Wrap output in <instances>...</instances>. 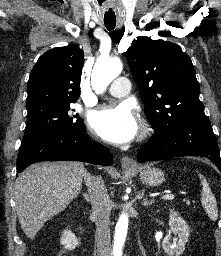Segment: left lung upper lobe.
Here are the masks:
<instances>
[{
    "label": "left lung upper lobe",
    "mask_w": 221,
    "mask_h": 256,
    "mask_svg": "<svg viewBox=\"0 0 221 256\" xmlns=\"http://www.w3.org/2000/svg\"><path fill=\"white\" fill-rule=\"evenodd\" d=\"M128 63L154 132L208 120L192 61L177 44L139 38L129 48Z\"/></svg>",
    "instance_id": "1"
}]
</instances>
